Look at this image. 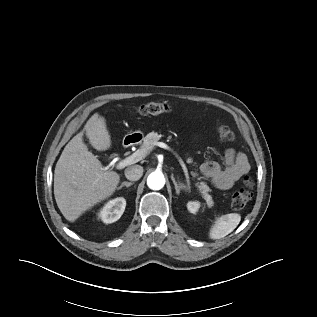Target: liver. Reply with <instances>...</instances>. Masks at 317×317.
Wrapping results in <instances>:
<instances>
[{"mask_svg":"<svg viewBox=\"0 0 317 317\" xmlns=\"http://www.w3.org/2000/svg\"><path fill=\"white\" fill-rule=\"evenodd\" d=\"M84 130L95 149L104 151L110 148L111 139L103 116L93 114ZM54 172L55 200L65 219L70 222L111 196L120 182V176L103 168L97 157L88 150L83 142V132L65 146Z\"/></svg>","mask_w":317,"mask_h":317,"instance_id":"obj_1","label":"liver"}]
</instances>
